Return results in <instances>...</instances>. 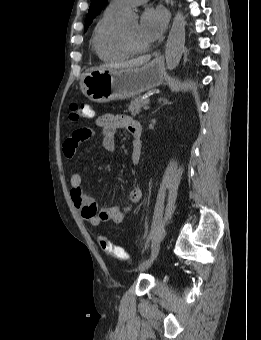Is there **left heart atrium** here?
I'll use <instances>...</instances> for the list:
<instances>
[{
    "label": "left heart atrium",
    "instance_id": "left-heart-atrium-1",
    "mask_svg": "<svg viewBox=\"0 0 261 340\" xmlns=\"http://www.w3.org/2000/svg\"><path fill=\"white\" fill-rule=\"evenodd\" d=\"M167 11L162 7H149L142 13L139 32L148 45L156 42L166 29Z\"/></svg>",
    "mask_w": 261,
    "mask_h": 340
}]
</instances>
